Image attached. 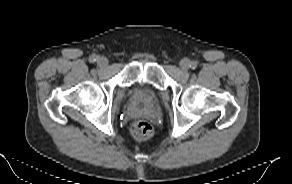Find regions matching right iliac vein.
<instances>
[{"label":"right iliac vein","instance_id":"1","mask_svg":"<svg viewBox=\"0 0 292 184\" xmlns=\"http://www.w3.org/2000/svg\"><path fill=\"white\" fill-rule=\"evenodd\" d=\"M97 64H98L100 67H105V66L108 65V60H107V58H105V57H100V58H98V60H97Z\"/></svg>","mask_w":292,"mask_h":184}]
</instances>
